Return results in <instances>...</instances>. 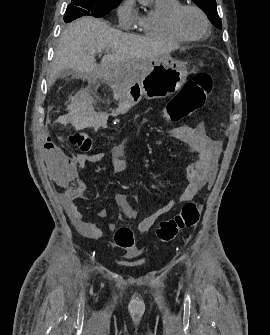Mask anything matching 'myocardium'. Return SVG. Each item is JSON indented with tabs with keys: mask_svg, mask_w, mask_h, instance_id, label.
I'll return each instance as SVG.
<instances>
[{
	"mask_svg": "<svg viewBox=\"0 0 270 335\" xmlns=\"http://www.w3.org/2000/svg\"><path fill=\"white\" fill-rule=\"evenodd\" d=\"M187 9H191V10L196 11L202 17V19L204 21V24H205L204 35H202L200 37H191L188 34H186L183 31V29L181 28L180 17H181V14ZM169 26L175 34H177L178 36H180L183 39L190 40V41L203 40V39L207 38L211 33V25H210V22H209V20L206 16V14L200 8H198L194 5H190V4L181 5V6L177 7L176 9H174L170 13V15H169Z\"/></svg>",
	"mask_w": 270,
	"mask_h": 335,
	"instance_id": "obj_1",
	"label": "myocardium"
}]
</instances>
